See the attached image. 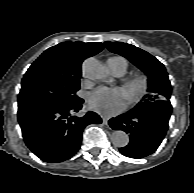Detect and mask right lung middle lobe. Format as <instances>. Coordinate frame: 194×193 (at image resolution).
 Returning <instances> with one entry per match:
<instances>
[{"label":"right lung middle lobe","mask_w":194,"mask_h":193,"mask_svg":"<svg viewBox=\"0 0 194 193\" xmlns=\"http://www.w3.org/2000/svg\"><path fill=\"white\" fill-rule=\"evenodd\" d=\"M81 76L64 74H35L22 81L18 97V106H72L81 101L76 95L80 88Z\"/></svg>","instance_id":"obj_1"}]
</instances>
